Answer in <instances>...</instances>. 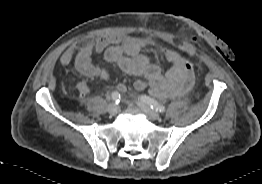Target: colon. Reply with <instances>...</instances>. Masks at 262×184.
I'll return each mask as SVG.
<instances>
[{"instance_id":"obj_1","label":"colon","mask_w":262,"mask_h":184,"mask_svg":"<svg viewBox=\"0 0 262 184\" xmlns=\"http://www.w3.org/2000/svg\"><path fill=\"white\" fill-rule=\"evenodd\" d=\"M178 60L184 70V79L179 87V89L175 93V97L182 96L186 94L193 86L195 80V68L194 64L188 58L179 55ZM123 89V87H120Z\"/></svg>"}]
</instances>
